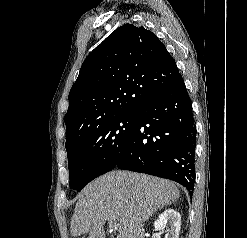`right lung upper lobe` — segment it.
I'll return each instance as SVG.
<instances>
[{
    "label": "right lung upper lobe",
    "mask_w": 247,
    "mask_h": 238,
    "mask_svg": "<svg viewBox=\"0 0 247 238\" xmlns=\"http://www.w3.org/2000/svg\"><path fill=\"white\" fill-rule=\"evenodd\" d=\"M179 74L175 60L151 31L120 26L81 66L69 93L65 146L99 123L137 113L166 92Z\"/></svg>",
    "instance_id": "cb5924a9"
}]
</instances>
